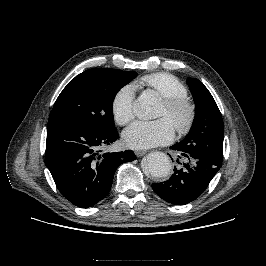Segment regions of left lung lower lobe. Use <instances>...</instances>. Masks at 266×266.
Wrapping results in <instances>:
<instances>
[{"label":"left lung lower lobe","mask_w":266,"mask_h":266,"mask_svg":"<svg viewBox=\"0 0 266 266\" xmlns=\"http://www.w3.org/2000/svg\"><path fill=\"white\" fill-rule=\"evenodd\" d=\"M181 152L185 161L180 168L174 167V174L165 182L153 183L152 189L163 200L175 204L185 205L200 196L208 187L210 181L219 171L221 165L215 164L203 157L188 154L176 145L170 147ZM179 158H181L179 156Z\"/></svg>","instance_id":"left-lung-lower-lobe-1"}]
</instances>
